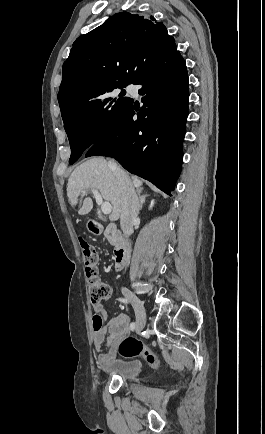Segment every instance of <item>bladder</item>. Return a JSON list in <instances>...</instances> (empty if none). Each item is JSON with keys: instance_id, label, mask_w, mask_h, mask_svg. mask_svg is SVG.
I'll return each mask as SVG.
<instances>
[{"instance_id": "1", "label": "bladder", "mask_w": 265, "mask_h": 434, "mask_svg": "<svg viewBox=\"0 0 265 434\" xmlns=\"http://www.w3.org/2000/svg\"><path fill=\"white\" fill-rule=\"evenodd\" d=\"M143 369V364L138 360L117 362L111 367L113 374L126 380L135 379L140 375Z\"/></svg>"}]
</instances>
